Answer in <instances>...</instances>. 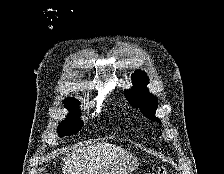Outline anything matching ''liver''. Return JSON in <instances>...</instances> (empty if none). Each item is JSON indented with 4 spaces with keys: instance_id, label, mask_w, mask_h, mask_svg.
Listing matches in <instances>:
<instances>
[{
    "instance_id": "liver-1",
    "label": "liver",
    "mask_w": 224,
    "mask_h": 174,
    "mask_svg": "<svg viewBox=\"0 0 224 174\" xmlns=\"http://www.w3.org/2000/svg\"><path fill=\"white\" fill-rule=\"evenodd\" d=\"M126 150L110 144L97 143L79 147L67 154L62 167L63 174H93L126 157Z\"/></svg>"
}]
</instances>
